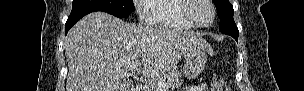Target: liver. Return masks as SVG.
<instances>
[{
	"mask_svg": "<svg viewBox=\"0 0 304 91\" xmlns=\"http://www.w3.org/2000/svg\"><path fill=\"white\" fill-rule=\"evenodd\" d=\"M196 46L211 51L196 32L129 24L104 12L88 14L64 43L66 91H127L125 80L134 60L141 58L143 76L157 78Z\"/></svg>",
	"mask_w": 304,
	"mask_h": 91,
	"instance_id": "liver-1",
	"label": "liver"
}]
</instances>
